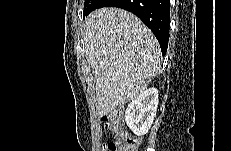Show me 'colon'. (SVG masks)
I'll use <instances>...</instances> for the list:
<instances>
[{
    "instance_id": "1",
    "label": "colon",
    "mask_w": 231,
    "mask_h": 151,
    "mask_svg": "<svg viewBox=\"0 0 231 151\" xmlns=\"http://www.w3.org/2000/svg\"><path fill=\"white\" fill-rule=\"evenodd\" d=\"M107 129L114 135L115 139L106 143L104 151H136L138 139L129 133L123 126V114L119 110H113L103 117Z\"/></svg>"
}]
</instances>
